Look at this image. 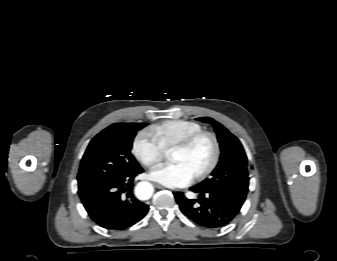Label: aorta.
<instances>
[{"label":"aorta","instance_id":"aorta-1","mask_svg":"<svg viewBox=\"0 0 337 261\" xmlns=\"http://www.w3.org/2000/svg\"><path fill=\"white\" fill-rule=\"evenodd\" d=\"M153 186L151 183L142 181L135 187V194L141 200H148L153 194Z\"/></svg>","mask_w":337,"mask_h":261}]
</instances>
